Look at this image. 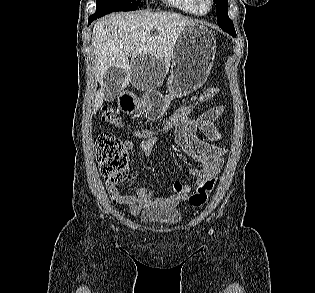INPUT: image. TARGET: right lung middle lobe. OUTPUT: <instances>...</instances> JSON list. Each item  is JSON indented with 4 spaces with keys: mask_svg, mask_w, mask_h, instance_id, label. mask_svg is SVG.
<instances>
[{
    "mask_svg": "<svg viewBox=\"0 0 315 293\" xmlns=\"http://www.w3.org/2000/svg\"><path fill=\"white\" fill-rule=\"evenodd\" d=\"M141 0H96L97 8H115L119 11L137 9Z\"/></svg>",
    "mask_w": 315,
    "mask_h": 293,
    "instance_id": "obj_1",
    "label": "right lung middle lobe"
}]
</instances>
